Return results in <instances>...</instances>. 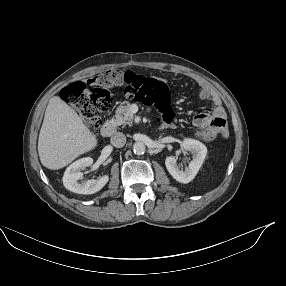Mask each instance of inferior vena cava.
Here are the masks:
<instances>
[{
    "mask_svg": "<svg viewBox=\"0 0 286 286\" xmlns=\"http://www.w3.org/2000/svg\"><path fill=\"white\" fill-rule=\"evenodd\" d=\"M111 143L114 147H123L126 143V136L122 132H117L111 137Z\"/></svg>",
    "mask_w": 286,
    "mask_h": 286,
    "instance_id": "1",
    "label": "inferior vena cava"
}]
</instances>
